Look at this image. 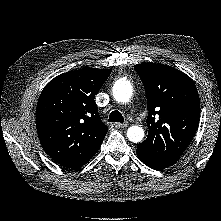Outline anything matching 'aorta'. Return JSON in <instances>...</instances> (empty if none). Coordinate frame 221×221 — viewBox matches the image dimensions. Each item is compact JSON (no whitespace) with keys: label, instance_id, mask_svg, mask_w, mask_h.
Returning a JSON list of instances; mask_svg holds the SVG:
<instances>
[{"label":"aorta","instance_id":"762f6f07","mask_svg":"<svg viewBox=\"0 0 221 221\" xmlns=\"http://www.w3.org/2000/svg\"><path fill=\"white\" fill-rule=\"evenodd\" d=\"M132 95V86L128 81H118L113 88V96L120 103L130 101ZM127 137L131 142L138 143L144 138V130L139 126H131L127 130Z\"/></svg>","mask_w":221,"mask_h":221}]
</instances>
